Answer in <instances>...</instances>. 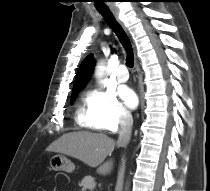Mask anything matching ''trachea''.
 <instances>
[{
  "label": "trachea",
  "mask_w": 210,
  "mask_h": 191,
  "mask_svg": "<svg viewBox=\"0 0 210 191\" xmlns=\"http://www.w3.org/2000/svg\"><path fill=\"white\" fill-rule=\"evenodd\" d=\"M98 11L103 16L106 23L118 36L120 42L123 44V46L127 50L128 57L126 59V65L132 68L134 66V55H133L132 46H131V43L127 34L125 33L121 25L116 21L113 14L108 8H98Z\"/></svg>",
  "instance_id": "3493384b"
}]
</instances>
